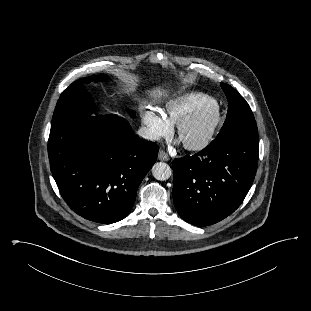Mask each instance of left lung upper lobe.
Segmentation results:
<instances>
[{
	"mask_svg": "<svg viewBox=\"0 0 311 311\" xmlns=\"http://www.w3.org/2000/svg\"><path fill=\"white\" fill-rule=\"evenodd\" d=\"M221 87L228 99V113L221 132L215 142L231 136H257V124L250 106L245 99L231 86L221 83Z\"/></svg>",
	"mask_w": 311,
	"mask_h": 311,
	"instance_id": "obj_1",
	"label": "left lung upper lobe"
}]
</instances>
